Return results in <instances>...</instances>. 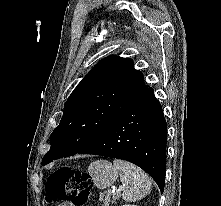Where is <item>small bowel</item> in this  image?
<instances>
[{
    "mask_svg": "<svg viewBox=\"0 0 221 206\" xmlns=\"http://www.w3.org/2000/svg\"><path fill=\"white\" fill-rule=\"evenodd\" d=\"M60 206H72V205L69 204V203H63V204H61Z\"/></svg>",
    "mask_w": 221,
    "mask_h": 206,
    "instance_id": "c3829d8e",
    "label": "small bowel"
}]
</instances>
